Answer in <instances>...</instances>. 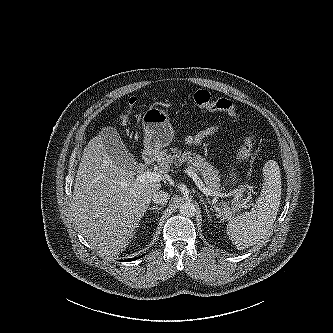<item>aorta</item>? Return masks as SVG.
Listing matches in <instances>:
<instances>
[{
    "mask_svg": "<svg viewBox=\"0 0 333 333\" xmlns=\"http://www.w3.org/2000/svg\"><path fill=\"white\" fill-rule=\"evenodd\" d=\"M179 211L183 216L193 217L196 214L197 209L193 202L185 201L180 205Z\"/></svg>",
    "mask_w": 333,
    "mask_h": 333,
    "instance_id": "aorta-1",
    "label": "aorta"
}]
</instances>
